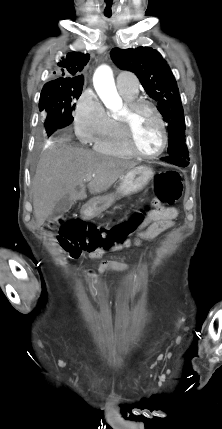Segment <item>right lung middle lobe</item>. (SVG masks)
Returning <instances> with one entry per match:
<instances>
[{
	"label": "right lung middle lobe",
	"instance_id": "dd1d6c3e",
	"mask_svg": "<svg viewBox=\"0 0 222 429\" xmlns=\"http://www.w3.org/2000/svg\"><path fill=\"white\" fill-rule=\"evenodd\" d=\"M83 84L67 87H43L39 109L48 137L64 130L73 122L72 111L80 97Z\"/></svg>",
	"mask_w": 222,
	"mask_h": 429
}]
</instances>
